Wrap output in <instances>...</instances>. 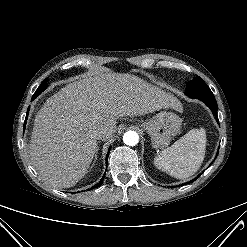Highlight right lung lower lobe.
Returning a JSON list of instances; mask_svg holds the SVG:
<instances>
[{
	"mask_svg": "<svg viewBox=\"0 0 247 247\" xmlns=\"http://www.w3.org/2000/svg\"><path fill=\"white\" fill-rule=\"evenodd\" d=\"M37 96H38V95L34 94L33 97H32V99H31V101L34 100ZM28 110H29V109H28ZM27 116H28V113H27V115H26L25 121H26V119H27ZM24 129H25V122H24ZM109 150H110V149H109ZM108 155H109V153H108L107 156H106V160L108 159ZM103 179H104V176L102 177V179L100 180V182H99L98 184H96L95 187H100V186L102 185Z\"/></svg>",
	"mask_w": 247,
	"mask_h": 247,
	"instance_id": "obj_1",
	"label": "right lung lower lobe"
}]
</instances>
